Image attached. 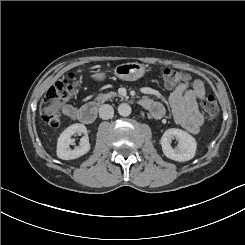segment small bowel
Masks as SVG:
<instances>
[{"label":"small bowel","instance_id":"1","mask_svg":"<svg viewBox=\"0 0 245 245\" xmlns=\"http://www.w3.org/2000/svg\"><path fill=\"white\" fill-rule=\"evenodd\" d=\"M205 93V87L201 80H192L186 76L169 97L175 122L191 134L199 133L204 123L203 114L198 109V100L202 99ZM142 105L157 118L162 117L165 113L163 105L150 98H144ZM62 112L72 120L78 119L79 111L72 105H65Z\"/></svg>","mask_w":245,"mask_h":245}]
</instances>
